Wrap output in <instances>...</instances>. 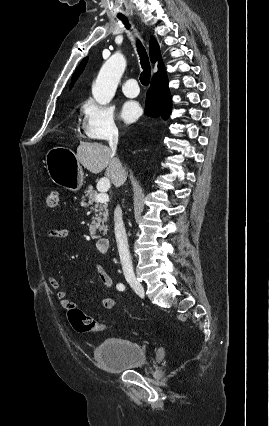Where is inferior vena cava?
Masks as SVG:
<instances>
[{"label":"inferior vena cava","mask_w":269,"mask_h":426,"mask_svg":"<svg viewBox=\"0 0 269 426\" xmlns=\"http://www.w3.org/2000/svg\"><path fill=\"white\" fill-rule=\"evenodd\" d=\"M118 144V131H112L109 137V146L111 151L116 153ZM114 222H115V236L119 251V256L122 264V268L125 275H134L131 256L128 247L127 235L124 227V223L122 220V210L119 206L115 209L114 212Z\"/></svg>","instance_id":"inferior-vena-cava-1"}]
</instances>
